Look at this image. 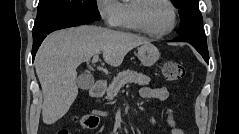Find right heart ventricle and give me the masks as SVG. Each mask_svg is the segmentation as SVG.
<instances>
[{
	"label": "right heart ventricle",
	"mask_w": 239,
	"mask_h": 134,
	"mask_svg": "<svg viewBox=\"0 0 239 134\" xmlns=\"http://www.w3.org/2000/svg\"><path fill=\"white\" fill-rule=\"evenodd\" d=\"M136 0H126L119 3L120 17L118 26L124 30L137 31L133 16L132 8Z\"/></svg>",
	"instance_id": "1"
}]
</instances>
